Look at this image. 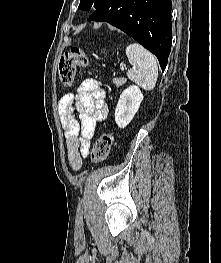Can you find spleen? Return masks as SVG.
<instances>
[{
	"instance_id": "1",
	"label": "spleen",
	"mask_w": 221,
	"mask_h": 263,
	"mask_svg": "<svg viewBox=\"0 0 221 263\" xmlns=\"http://www.w3.org/2000/svg\"><path fill=\"white\" fill-rule=\"evenodd\" d=\"M126 55L132 65V68L127 71V77L144 90H152L158 77L155 56L138 43L128 45Z\"/></svg>"
}]
</instances>
